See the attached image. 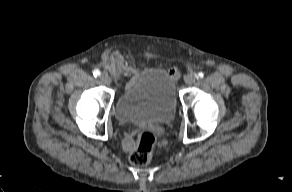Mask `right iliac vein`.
Returning <instances> with one entry per match:
<instances>
[{
    "label": "right iliac vein",
    "instance_id": "right-iliac-vein-1",
    "mask_svg": "<svg viewBox=\"0 0 292 192\" xmlns=\"http://www.w3.org/2000/svg\"><path fill=\"white\" fill-rule=\"evenodd\" d=\"M100 80L106 85H110L111 83V79L106 73L101 74Z\"/></svg>",
    "mask_w": 292,
    "mask_h": 192
}]
</instances>
